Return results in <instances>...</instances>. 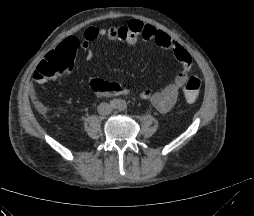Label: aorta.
I'll use <instances>...</instances> for the list:
<instances>
[{"mask_svg": "<svg viewBox=\"0 0 254 216\" xmlns=\"http://www.w3.org/2000/svg\"><path fill=\"white\" fill-rule=\"evenodd\" d=\"M117 108L119 110H124L126 108V101H124V100H118L117 101Z\"/></svg>", "mask_w": 254, "mask_h": 216, "instance_id": "762f6f07", "label": "aorta"}]
</instances>
